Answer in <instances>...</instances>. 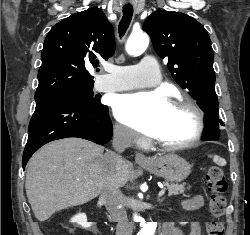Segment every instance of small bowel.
I'll use <instances>...</instances> for the list:
<instances>
[{"instance_id": "1", "label": "small bowel", "mask_w": 250, "mask_h": 235, "mask_svg": "<svg viewBox=\"0 0 250 235\" xmlns=\"http://www.w3.org/2000/svg\"><path fill=\"white\" fill-rule=\"evenodd\" d=\"M205 203V198L203 195H196L193 198L185 201L184 206L188 210H198L203 207ZM163 235H183L182 232L175 227L171 222H165L163 224ZM201 228L198 223H193L191 225L190 234L189 235H200Z\"/></svg>"}]
</instances>
